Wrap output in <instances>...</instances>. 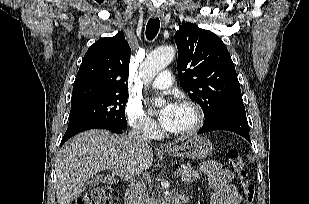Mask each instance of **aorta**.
Returning a JSON list of instances; mask_svg holds the SVG:
<instances>
[{"instance_id": "1", "label": "aorta", "mask_w": 309, "mask_h": 204, "mask_svg": "<svg viewBox=\"0 0 309 204\" xmlns=\"http://www.w3.org/2000/svg\"><path fill=\"white\" fill-rule=\"evenodd\" d=\"M175 50L172 46L160 47L151 52L139 68V75L148 85L154 77L166 68L173 60Z\"/></svg>"}]
</instances>
